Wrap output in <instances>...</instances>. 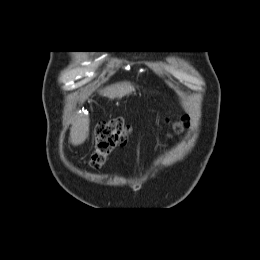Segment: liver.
I'll list each match as a JSON object with an SVG mask.
<instances>
[{
    "label": "liver",
    "mask_w": 260,
    "mask_h": 260,
    "mask_svg": "<svg viewBox=\"0 0 260 260\" xmlns=\"http://www.w3.org/2000/svg\"><path fill=\"white\" fill-rule=\"evenodd\" d=\"M117 89H119L117 86L108 87L104 91H102V93L107 97L115 98ZM122 96H124V94H122L121 97ZM89 123L90 120L88 115L84 114L78 115L76 119L73 121L70 129V142L73 145H81L88 138Z\"/></svg>",
    "instance_id": "obj_1"
}]
</instances>
